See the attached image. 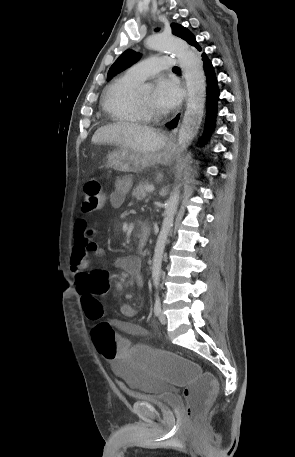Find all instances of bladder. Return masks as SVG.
Returning <instances> with one entry per match:
<instances>
[{"label": "bladder", "mask_w": 295, "mask_h": 457, "mask_svg": "<svg viewBox=\"0 0 295 457\" xmlns=\"http://www.w3.org/2000/svg\"><path fill=\"white\" fill-rule=\"evenodd\" d=\"M113 373L125 390L134 398L159 407L160 411H180L177 395L169 390L166 378L159 374H142L139 366H122L121 360L112 367Z\"/></svg>", "instance_id": "bladder-1"}]
</instances>
